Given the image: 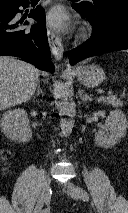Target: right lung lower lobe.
I'll use <instances>...</instances> for the list:
<instances>
[{
  "label": "right lung lower lobe",
  "mask_w": 128,
  "mask_h": 213,
  "mask_svg": "<svg viewBox=\"0 0 128 213\" xmlns=\"http://www.w3.org/2000/svg\"><path fill=\"white\" fill-rule=\"evenodd\" d=\"M28 0L14 6L0 9V56L8 55L23 58L32 62L37 68L54 72L48 45L47 32L40 7L32 10L29 17L37 20V25L31 29L20 28L22 21H16L15 15L20 12L19 6L27 7ZM25 22L24 25H27Z\"/></svg>",
  "instance_id": "98d812e1"
}]
</instances>
